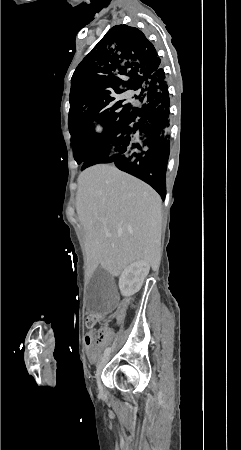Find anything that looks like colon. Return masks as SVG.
Here are the masks:
<instances>
[{
	"label": "colon",
	"mask_w": 241,
	"mask_h": 450,
	"mask_svg": "<svg viewBox=\"0 0 241 450\" xmlns=\"http://www.w3.org/2000/svg\"><path fill=\"white\" fill-rule=\"evenodd\" d=\"M98 314L96 312H93L92 314H86L84 316V323L88 325V327L93 328L95 327L96 323L98 322Z\"/></svg>",
	"instance_id": "obj_1"
}]
</instances>
